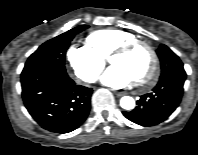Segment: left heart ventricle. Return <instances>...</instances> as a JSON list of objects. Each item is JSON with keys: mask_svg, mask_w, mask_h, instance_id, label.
I'll return each instance as SVG.
<instances>
[{"mask_svg": "<svg viewBox=\"0 0 198 155\" xmlns=\"http://www.w3.org/2000/svg\"><path fill=\"white\" fill-rule=\"evenodd\" d=\"M110 63L126 69L138 80L144 77L151 68V56L144 46H138L127 54H119L110 58Z\"/></svg>", "mask_w": 198, "mask_h": 155, "instance_id": "left-heart-ventricle-1", "label": "left heart ventricle"}]
</instances>
